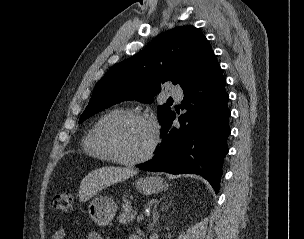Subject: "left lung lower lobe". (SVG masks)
Segmentation results:
<instances>
[{
    "label": "left lung lower lobe",
    "instance_id": "0a47b994",
    "mask_svg": "<svg viewBox=\"0 0 304 239\" xmlns=\"http://www.w3.org/2000/svg\"><path fill=\"white\" fill-rule=\"evenodd\" d=\"M225 85L213 54L196 80L183 91L181 108L187 111L178 117L180 124L173 126L176 114L172 111L162 124L163 140L155 156L137 167L171 174H198L208 180L217 193L231 133Z\"/></svg>",
    "mask_w": 304,
    "mask_h": 239
}]
</instances>
